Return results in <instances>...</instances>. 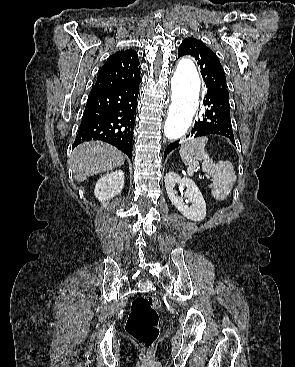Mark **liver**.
<instances>
[{
  "mask_svg": "<svg viewBox=\"0 0 295 367\" xmlns=\"http://www.w3.org/2000/svg\"><path fill=\"white\" fill-rule=\"evenodd\" d=\"M124 162L125 155L121 151L101 141L84 142L73 150L71 156L72 170L78 182L120 167Z\"/></svg>",
  "mask_w": 295,
  "mask_h": 367,
  "instance_id": "liver-1",
  "label": "liver"
}]
</instances>
